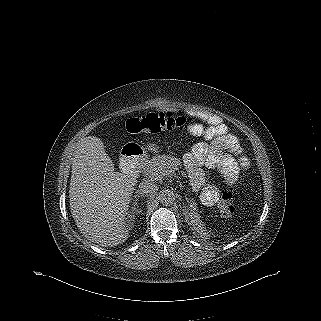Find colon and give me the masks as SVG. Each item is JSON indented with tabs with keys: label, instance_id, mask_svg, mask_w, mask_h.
<instances>
[{
	"label": "colon",
	"instance_id": "1",
	"mask_svg": "<svg viewBox=\"0 0 321 321\" xmlns=\"http://www.w3.org/2000/svg\"><path fill=\"white\" fill-rule=\"evenodd\" d=\"M194 119L183 115L173 113H150L143 117L129 119L126 123V129L132 134L158 133L163 130H170L185 124H191ZM234 192L231 189H225L220 198L219 207L223 218H230L234 212L233 204Z\"/></svg>",
	"mask_w": 321,
	"mask_h": 321
}]
</instances>
